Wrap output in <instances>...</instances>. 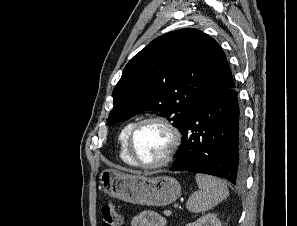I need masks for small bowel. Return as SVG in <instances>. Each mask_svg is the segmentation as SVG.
<instances>
[{"mask_svg":"<svg viewBox=\"0 0 297 226\" xmlns=\"http://www.w3.org/2000/svg\"><path fill=\"white\" fill-rule=\"evenodd\" d=\"M165 219L154 211H143L134 215L131 226H165Z\"/></svg>","mask_w":297,"mask_h":226,"instance_id":"small-bowel-1","label":"small bowel"}]
</instances>
